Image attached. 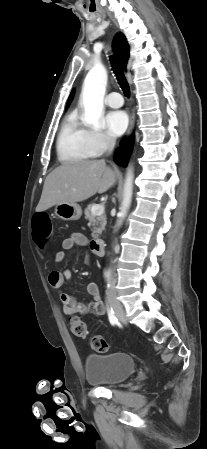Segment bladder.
<instances>
[{
    "label": "bladder",
    "mask_w": 207,
    "mask_h": 449,
    "mask_svg": "<svg viewBox=\"0 0 207 449\" xmlns=\"http://www.w3.org/2000/svg\"><path fill=\"white\" fill-rule=\"evenodd\" d=\"M135 368L133 357L122 352L88 354L84 363L85 378L92 385H118L129 378Z\"/></svg>",
    "instance_id": "31cf9c89"
}]
</instances>
